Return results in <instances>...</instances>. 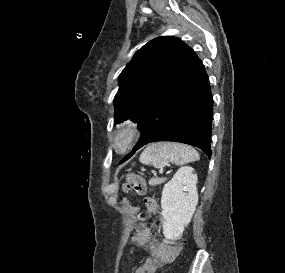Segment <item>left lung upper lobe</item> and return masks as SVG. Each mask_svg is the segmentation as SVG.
Segmentation results:
<instances>
[{
  "instance_id": "obj_1",
  "label": "left lung upper lobe",
  "mask_w": 285,
  "mask_h": 273,
  "mask_svg": "<svg viewBox=\"0 0 285 273\" xmlns=\"http://www.w3.org/2000/svg\"><path fill=\"white\" fill-rule=\"evenodd\" d=\"M191 48L180 38L161 36L141 47L119 76L114 122H139L174 85Z\"/></svg>"
}]
</instances>
